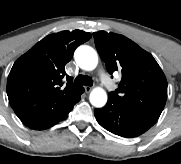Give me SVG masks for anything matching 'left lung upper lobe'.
<instances>
[{
	"mask_svg": "<svg viewBox=\"0 0 181 164\" xmlns=\"http://www.w3.org/2000/svg\"><path fill=\"white\" fill-rule=\"evenodd\" d=\"M93 36L109 74L118 71L122 76L109 98L159 118L167 99V81L153 56L125 36L105 31Z\"/></svg>",
	"mask_w": 181,
	"mask_h": 164,
	"instance_id": "obj_1",
	"label": "left lung upper lobe"
}]
</instances>
